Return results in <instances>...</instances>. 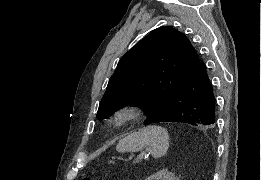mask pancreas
Returning <instances> with one entry per match:
<instances>
[{"instance_id":"obj_1","label":"pancreas","mask_w":261,"mask_h":180,"mask_svg":"<svg viewBox=\"0 0 261 180\" xmlns=\"http://www.w3.org/2000/svg\"><path fill=\"white\" fill-rule=\"evenodd\" d=\"M133 164H140V161H137V159H133Z\"/></svg>"}]
</instances>
